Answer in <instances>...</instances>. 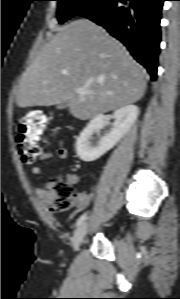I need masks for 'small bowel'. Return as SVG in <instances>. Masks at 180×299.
<instances>
[{"label": "small bowel", "instance_id": "c3829d8e", "mask_svg": "<svg viewBox=\"0 0 180 299\" xmlns=\"http://www.w3.org/2000/svg\"><path fill=\"white\" fill-rule=\"evenodd\" d=\"M57 157L59 160H65L68 156L67 150L65 148H60L56 152L52 151H42L37 160L43 161L50 159L52 157ZM42 172V168L38 165H33L31 167V173L33 175H39ZM65 181L70 184L74 185L78 181V177L75 173H67L65 174ZM53 185V182H48L46 185L42 187H36L35 193L40 198L43 203H46V199L49 196V189ZM91 196L86 192H78L75 197V206L78 209L85 208L90 202Z\"/></svg>", "mask_w": 180, "mask_h": 299}]
</instances>
